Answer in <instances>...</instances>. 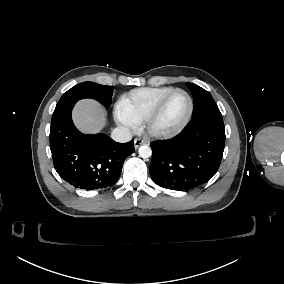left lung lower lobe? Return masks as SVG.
Listing matches in <instances>:
<instances>
[{
  "label": "left lung lower lobe",
  "mask_w": 284,
  "mask_h": 284,
  "mask_svg": "<svg viewBox=\"0 0 284 284\" xmlns=\"http://www.w3.org/2000/svg\"><path fill=\"white\" fill-rule=\"evenodd\" d=\"M224 144L225 128L220 111L201 113L173 139L151 144V178L157 185L172 190L199 187L217 172Z\"/></svg>",
  "instance_id": "1"
}]
</instances>
